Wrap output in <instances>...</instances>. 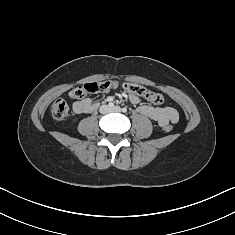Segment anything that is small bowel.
I'll return each mask as SVG.
<instances>
[{
  "instance_id": "small-bowel-1",
  "label": "small bowel",
  "mask_w": 235,
  "mask_h": 235,
  "mask_svg": "<svg viewBox=\"0 0 235 235\" xmlns=\"http://www.w3.org/2000/svg\"><path fill=\"white\" fill-rule=\"evenodd\" d=\"M129 99L132 103L138 104L140 99L134 95H129ZM93 105H96L90 98L78 100L73 104V109L78 114L90 113V109ZM139 111L156 121L161 127H165L168 124L176 123L179 119L178 111L171 106L165 107H153L151 105L142 104L139 107Z\"/></svg>"
}]
</instances>
